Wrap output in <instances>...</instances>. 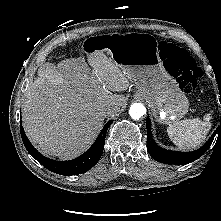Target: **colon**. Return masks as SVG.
Wrapping results in <instances>:
<instances>
[{
    "label": "colon",
    "instance_id": "obj_1",
    "mask_svg": "<svg viewBox=\"0 0 221 221\" xmlns=\"http://www.w3.org/2000/svg\"><path fill=\"white\" fill-rule=\"evenodd\" d=\"M161 53L165 57L168 72L176 79L181 90L187 94L197 91L202 73L195 60L184 49L161 44Z\"/></svg>",
    "mask_w": 221,
    "mask_h": 221
}]
</instances>
